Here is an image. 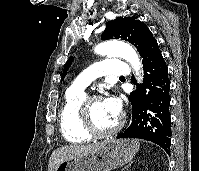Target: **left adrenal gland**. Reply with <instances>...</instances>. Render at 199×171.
Wrapping results in <instances>:
<instances>
[{
  "instance_id": "a2214340",
  "label": "left adrenal gland",
  "mask_w": 199,
  "mask_h": 171,
  "mask_svg": "<svg viewBox=\"0 0 199 171\" xmlns=\"http://www.w3.org/2000/svg\"><path fill=\"white\" fill-rule=\"evenodd\" d=\"M130 165V164H129ZM129 165H127L124 169H126Z\"/></svg>"
}]
</instances>
